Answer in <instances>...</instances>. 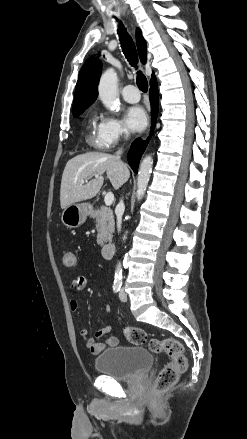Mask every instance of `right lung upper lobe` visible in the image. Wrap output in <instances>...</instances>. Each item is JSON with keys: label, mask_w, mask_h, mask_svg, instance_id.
<instances>
[{"label": "right lung upper lobe", "mask_w": 247, "mask_h": 439, "mask_svg": "<svg viewBox=\"0 0 247 439\" xmlns=\"http://www.w3.org/2000/svg\"><path fill=\"white\" fill-rule=\"evenodd\" d=\"M136 40L138 52L143 64L147 61V44L140 29H137ZM102 71V63L98 58H89L82 66L75 88L72 112L88 108L97 98V85ZM154 74L151 81L155 80Z\"/></svg>", "instance_id": "obj_1"}]
</instances>
